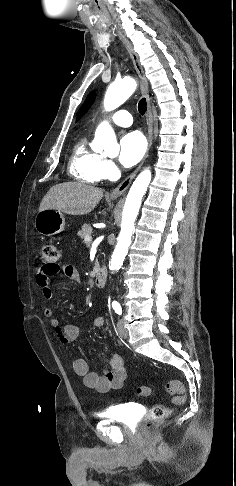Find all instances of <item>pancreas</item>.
Instances as JSON below:
<instances>
[{"mask_svg": "<svg viewBox=\"0 0 236 486\" xmlns=\"http://www.w3.org/2000/svg\"><path fill=\"white\" fill-rule=\"evenodd\" d=\"M92 234V227L88 224H84L81 228V230L78 231V236L81 238V239H84L85 236L89 235L91 236Z\"/></svg>", "mask_w": 236, "mask_h": 486, "instance_id": "obj_1", "label": "pancreas"}]
</instances>
